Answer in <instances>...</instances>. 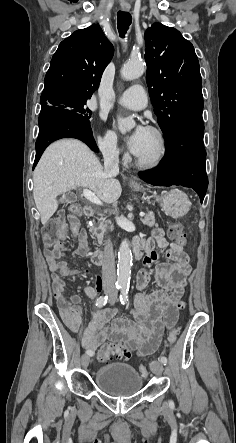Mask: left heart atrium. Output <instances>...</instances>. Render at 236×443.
<instances>
[{
  "mask_svg": "<svg viewBox=\"0 0 236 443\" xmlns=\"http://www.w3.org/2000/svg\"><path fill=\"white\" fill-rule=\"evenodd\" d=\"M148 128L143 123H138L127 136V143L130 150L137 154Z\"/></svg>",
  "mask_w": 236,
  "mask_h": 443,
  "instance_id": "39dd6f15",
  "label": "left heart atrium"
}]
</instances>
